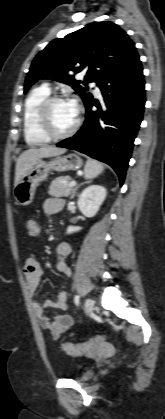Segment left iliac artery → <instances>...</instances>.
<instances>
[{"label": "left iliac artery", "instance_id": "44dca946", "mask_svg": "<svg viewBox=\"0 0 165 419\" xmlns=\"http://www.w3.org/2000/svg\"><path fill=\"white\" fill-rule=\"evenodd\" d=\"M79 299H80L79 295H76V296L74 297V302H75V304H76L77 306L79 305Z\"/></svg>", "mask_w": 165, "mask_h": 419}]
</instances>
